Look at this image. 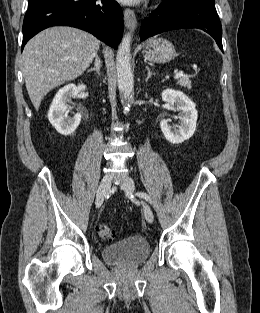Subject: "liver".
Wrapping results in <instances>:
<instances>
[{"mask_svg":"<svg viewBox=\"0 0 260 313\" xmlns=\"http://www.w3.org/2000/svg\"><path fill=\"white\" fill-rule=\"evenodd\" d=\"M100 41L73 27H51L33 37L25 46L23 77L31 102L39 109L53 88L80 76L97 55Z\"/></svg>","mask_w":260,"mask_h":313,"instance_id":"6515ba94","label":"liver"}]
</instances>
